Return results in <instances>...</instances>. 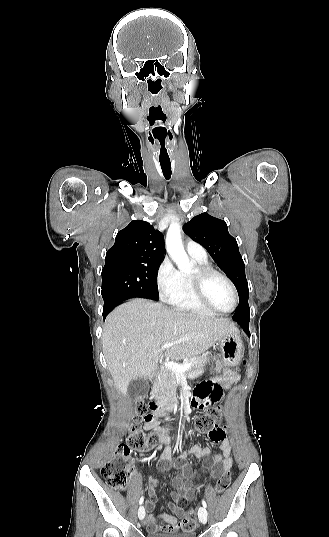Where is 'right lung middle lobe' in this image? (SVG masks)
<instances>
[{
    "label": "right lung middle lobe",
    "mask_w": 329,
    "mask_h": 537,
    "mask_svg": "<svg viewBox=\"0 0 329 537\" xmlns=\"http://www.w3.org/2000/svg\"><path fill=\"white\" fill-rule=\"evenodd\" d=\"M161 261L147 264H118L102 270V297L110 295L125 298L159 299L157 273Z\"/></svg>",
    "instance_id": "dd1d6c3e"
}]
</instances>
